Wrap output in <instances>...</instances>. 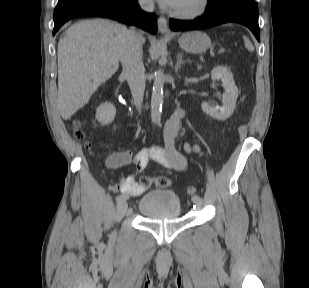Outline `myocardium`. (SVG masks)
<instances>
[{
  "label": "myocardium",
  "mask_w": 309,
  "mask_h": 288,
  "mask_svg": "<svg viewBox=\"0 0 309 288\" xmlns=\"http://www.w3.org/2000/svg\"><path fill=\"white\" fill-rule=\"evenodd\" d=\"M209 3L210 0H199V5L196 9L190 11L172 10L171 14L181 19H195L207 12Z\"/></svg>",
  "instance_id": "1"
}]
</instances>
